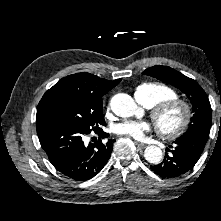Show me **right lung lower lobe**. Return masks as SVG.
Here are the masks:
<instances>
[{
  "label": "right lung lower lobe",
  "mask_w": 221,
  "mask_h": 221,
  "mask_svg": "<svg viewBox=\"0 0 221 221\" xmlns=\"http://www.w3.org/2000/svg\"><path fill=\"white\" fill-rule=\"evenodd\" d=\"M36 129L40 144L52 165L63 175L77 181L94 177L106 165L111 156L113 142L102 129L95 132L97 142L84 143L89 134L61 120L46 115L36 117Z\"/></svg>",
  "instance_id": "98d812e1"
}]
</instances>
